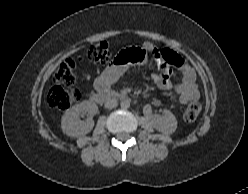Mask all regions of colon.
Instances as JSON below:
<instances>
[{"mask_svg":"<svg viewBox=\"0 0 248 194\" xmlns=\"http://www.w3.org/2000/svg\"><path fill=\"white\" fill-rule=\"evenodd\" d=\"M171 50L157 49L153 57L158 64L170 57ZM88 58L94 62L107 64L111 61L108 44L104 41L92 45L88 50ZM141 51L132 49L123 54L124 62H134ZM77 59L67 58L57 69L54 82L50 86L47 102L50 107L58 110H66L75 105L80 99V93L76 88L64 87L72 84L76 77ZM201 111V103L198 100L191 101L184 109L183 117L187 122H194Z\"/></svg>","mask_w":248,"mask_h":194,"instance_id":"1","label":"colon"}]
</instances>
